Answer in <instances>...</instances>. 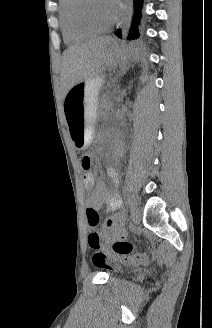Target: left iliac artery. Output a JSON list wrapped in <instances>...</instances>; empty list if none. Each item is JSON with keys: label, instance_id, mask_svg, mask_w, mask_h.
Here are the masks:
<instances>
[{"label": "left iliac artery", "instance_id": "obj_1", "mask_svg": "<svg viewBox=\"0 0 212 328\" xmlns=\"http://www.w3.org/2000/svg\"><path fill=\"white\" fill-rule=\"evenodd\" d=\"M128 201H129V204L131 205L132 204V201H131L130 197H129Z\"/></svg>", "mask_w": 212, "mask_h": 328}]
</instances>
